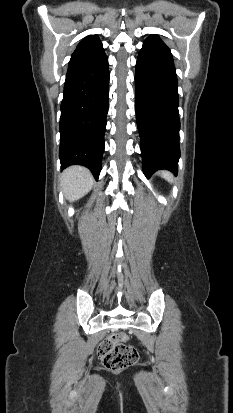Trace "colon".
<instances>
[{"mask_svg":"<svg viewBox=\"0 0 233 413\" xmlns=\"http://www.w3.org/2000/svg\"><path fill=\"white\" fill-rule=\"evenodd\" d=\"M126 340L125 334L115 333L100 342L98 354L107 369L123 370L138 360L137 350L126 344Z\"/></svg>","mask_w":233,"mask_h":413,"instance_id":"obj_1","label":"colon"}]
</instances>
